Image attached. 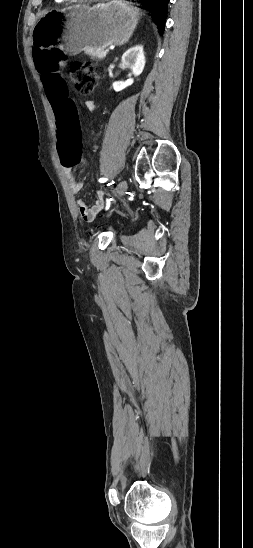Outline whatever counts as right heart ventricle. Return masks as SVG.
Returning <instances> with one entry per match:
<instances>
[{
	"label": "right heart ventricle",
	"mask_w": 253,
	"mask_h": 548,
	"mask_svg": "<svg viewBox=\"0 0 253 548\" xmlns=\"http://www.w3.org/2000/svg\"><path fill=\"white\" fill-rule=\"evenodd\" d=\"M65 0H55L56 3H62L64 2Z\"/></svg>",
	"instance_id": "e07e8e85"
}]
</instances>
